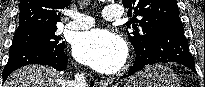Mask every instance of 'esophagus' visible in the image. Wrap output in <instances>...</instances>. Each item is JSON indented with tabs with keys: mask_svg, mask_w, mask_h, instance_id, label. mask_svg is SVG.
I'll use <instances>...</instances> for the list:
<instances>
[{
	"mask_svg": "<svg viewBox=\"0 0 205 87\" xmlns=\"http://www.w3.org/2000/svg\"><path fill=\"white\" fill-rule=\"evenodd\" d=\"M100 87H110V81L109 80H101L99 82Z\"/></svg>",
	"mask_w": 205,
	"mask_h": 87,
	"instance_id": "obj_1",
	"label": "esophagus"
}]
</instances>
